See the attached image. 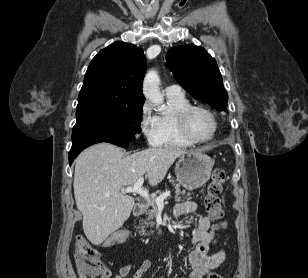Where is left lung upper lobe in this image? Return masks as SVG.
<instances>
[{
	"instance_id": "obj_1",
	"label": "left lung upper lobe",
	"mask_w": 308,
	"mask_h": 278,
	"mask_svg": "<svg viewBox=\"0 0 308 278\" xmlns=\"http://www.w3.org/2000/svg\"><path fill=\"white\" fill-rule=\"evenodd\" d=\"M167 67L177 82L197 100L226 111L228 94L216 61L203 48L188 44L166 54Z\"/></svg>"
}]
</instances>
